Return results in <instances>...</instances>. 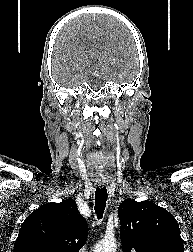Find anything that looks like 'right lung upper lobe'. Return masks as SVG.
Wrapping results in <instances>:
<instances>
[{
  "instance_id": "right-lung-upper-lobe-1",
  "label": "right lung upper lobe",
  "mask_w": 193,
  "mask_h": 252,
  "mask_svg": "<svg viewBox=\"0 0 193 252\" xmlns=\"http://www.w3.org/2000/svg\"><path fill=\"white\" fill-rule=\"evenodd\" d=\"M88 226L73 199L47 203L23 222L14 252H79Z\"/></svg>"
}]
</instances>
